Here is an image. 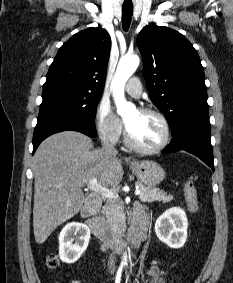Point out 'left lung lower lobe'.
Instances as JSON below:
<instances>
[{"mask_svg": "<svg viewBox=\"0 0 233 283\" xmlns=\"http://www.w3.org/2000/svg\"><path fill=\"white\" fill-rule=\"evenodd\" d=\"M172 135L163 154L184 150L200 158L214 171L209 119L190 120L174 130Z\"/></svg>", "mask_w": 233, "mask_h": 283, "instance_id": "obj_1", "label": "left lung lower lobe"}]
</instances>
